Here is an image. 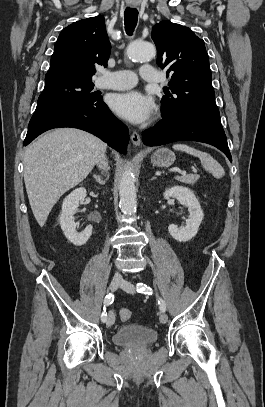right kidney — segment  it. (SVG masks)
Segmentation results:
<instances>
[{"instance_id": "right-kidney-1", "label": "right kidney", "mask_w": 265, "mask_h": 407, "mask_svg": "<svg viewBox=\"0 0 265 407\" xmlns=\"http://www.w3.org/2000/svg\"><path fill=\"white\" fill-rule=\"evenodd\" d=\"M86 197L85 188H77L71 192L63 201L62 211L59 217L61 229L66 238L75 246L84 245L92 234V226H87L84 231L77 232L74 222V214L77 211L79 204L84 202Z\"/></svg>"}]
</instances>
